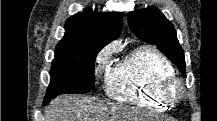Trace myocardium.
<instances>
[{
	"instance_id": "obj_1",
	"label": "myocardium",
	"mask_w": 217,
	"mask_h": 121,
	"mask_svg": "<svg viewBox=\"0 0 217 121\" xmlns=\"http://www.w3.org/2000/svg\"><path fill=\"white\" fill-rule=\"evenodd\" d=\"M163 93L171 101H179L183 96L180 80L172 76L167 78L163 86Z\"/></svg>"
}]
</instances>
